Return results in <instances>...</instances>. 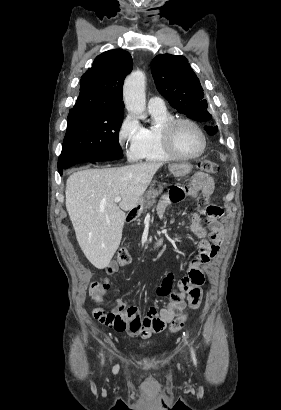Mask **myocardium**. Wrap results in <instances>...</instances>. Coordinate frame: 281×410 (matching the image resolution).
Returning a JSON list of instances; mask_svg holds the SVG:
<instances>
[{
	"instance_id": "1",
	"label": "myocardium",
	"mask_w": 281,
	"mask_h": 410,
	"mask_svg": "<svg viewBox=\"0 0 281 410\" xmlns=\"http://www.w3.org/2000/svg\"><path fill=\"white\" fill-rule=\"evenodd\" d=\"M190 124L200 133L202 138V147L200 151L194 155H184L180 153L174 146L172 140V133L174 128L180 124ZM160 139L165 150L174 158L179 160H194L201 157L207 149V136L204 129L193 119L187 117H172L166 121L160 128Z\"/></svg>"
}]
</instances>
